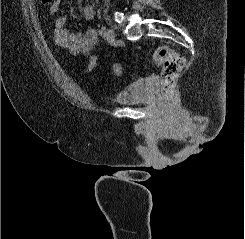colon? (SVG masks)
I'll return each instance as SVG.
<instances>
[{
	"instance_id": "obj_1",
	"label": "colon",
	"mask_w": 245,
	"mask_h": 239,
	"mask_svg": "<svg viewBox=\"0 0 245 239\" xmlns=\"http://www.w3.org/2000/svg\"><path fill=\"white\" fill-rule=\"evenodd\" d=\"M39 1L49 5L53 0ZM152 61L161 69V93L163 98L170 102L173 98L176 82L184 69L185 58L169 46L160 45L153 51ZM113 70L118 76L122 74V67L119 64H115Z\"/></svg>"
}]
</instances>
